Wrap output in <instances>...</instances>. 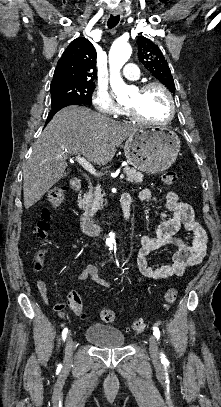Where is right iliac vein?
<instances>
[{"mask_svg": "<svg viewBox=\"0 0 221 407\" xmlns=\"http://www.w3.org/2000/svg\"><path fill=\"white\" fill-rule=\"evenodd\" d=\"M72 354H73V340H72V336L68 335L67 340H66V347H65L66 363H70L72 361Z\"/></svg>", "mask_w": 221, "mask_h": 407, "instance_id": "1", "label": "right iliac vein"}]
</instances>
